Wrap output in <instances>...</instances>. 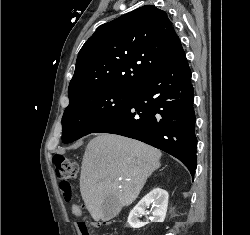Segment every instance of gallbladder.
<instances>
[{
	"label": "gallbladder",
	"mask_w": 250,
	"mask_h": 235,
	"mask_svg": "<svg viewBox=\"0 0 250 235\" xmlns=\"http://www.w3.org/2000/svg\"><path fill=\"white\" fill-rule=\"evenodd\" d=\"M121 210V205L117 198L108 196L102 204V220L108 221L116 217Z\"/></svg>",
	"instance_id": "obj_1"
}]
</instances>
